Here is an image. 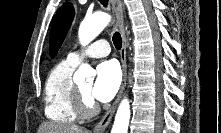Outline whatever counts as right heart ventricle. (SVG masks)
I'll list each match as a JSON object with an SVG mask.
<instances>
[{
  "instance_id": "right-heart-ventricle-1",
  "label": "right heart ventricle",
  "mask_w": 221,
  "mask_h": 133,
  "mask_svg": "<svg viewBox=\"0 0 221 133\" xmlns=\"http://www.w3.org/2000/svg\"><path fill=\"white\" fill-rule=\"evenodd\" d=\"M76 66L67 59L63 60L47 76L44 86V112L52 122L71 125L79 119L73 103L76 86L73 72Z\"/></svg>"
}]
</instances>
